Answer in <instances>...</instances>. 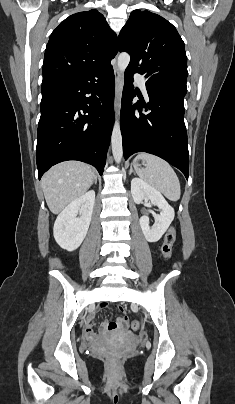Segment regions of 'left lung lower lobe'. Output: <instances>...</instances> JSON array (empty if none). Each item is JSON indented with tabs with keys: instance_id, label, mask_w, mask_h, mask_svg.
<instances>
[{
	"instance_id": "left-lung-lower-lobe-1",
	"label": "left lung lower lobe",
	"mask_w": 235,
	"mask_h": 404,
	"mask_svg": "<svg viewBox=\"0 0 235 404\" xmlns=\"http://www.w3.org/2000/svg\"><path fill=\"white\" fill-rule=\"evenodd\" d=\"M134 72L126 69L121 105L123 154L128 159L136 152H147L177 167L188 180L189 153L184 123V96L165 89L147 87L149 102L131 100ZM138 108V112L136 111ZM144 109L148 114H143Z\"/></svg>"
}]
</instances>
